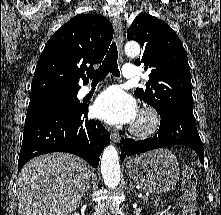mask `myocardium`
Listing matches in <instances>:
<instances>
[{
	"label": "myocardium",
	"instance_id": "1",
	"mask_svg": "<svg viewBox=\"0 0 221 215\" xmlns=\"http://www.w3.org/2000/svg\"><path fill=\"white\" fill-rule=\"evenodd\" d=\"M161 123L160 115L157 111L150 107H144L131 128V133L140 138L153 135L159 128Z\"/></svg>",
	"mask_w": 221,
	"mask_h": 215
}]
</instances>
